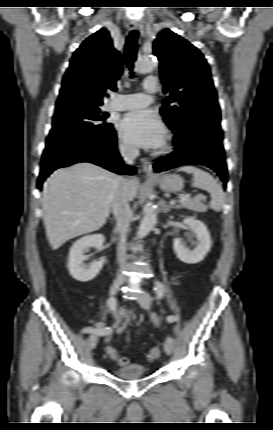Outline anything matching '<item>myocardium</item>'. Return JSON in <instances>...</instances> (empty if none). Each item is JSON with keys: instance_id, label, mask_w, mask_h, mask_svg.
I'll list each match as a JSON object with an SVG mask.
<instances>
[{"instance_id": "1", "label": "myocardium", "mask_w": 273, "mask_h": 430, "mask_svg": "<svg viewBox=\"0 0 273 430\" xmlns=\"http://www.w3.org/2000/svg\"><path fill=\"white\" fill-rule=\"evenodd\" d=\"M171 148H172V139H171V137H170V136H168V137L166 138V141H165V143H164L163 147H162V151H163V152H168V151H170V150H171Z\"/></svg>"}]
</instances>
